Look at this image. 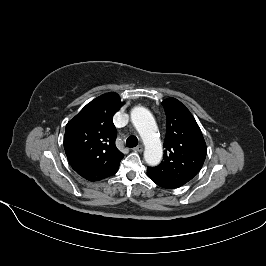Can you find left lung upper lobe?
<instances>
[{"mask_svg": "<svg viewBox=\"0 0 266 266\" xmlns=\"http://www.w3.org/2000/svg\"><path fill=\"white\" fill-rule=\"evenodd\" d=\"M166 113L163 161L147 169L168 188L183 186L200 171L206 158V143L190 111L177 99L162 102Z\"/></svg>", "mask_w": 266, "mask_h": 266, "instance_id": "obj_1", "label": "left lung upper lobe"}]
</instances>
